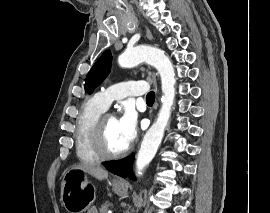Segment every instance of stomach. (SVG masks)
<instances>
[{
    "label": "stomach",
    "instance_id": "1",
    "mask_svg": "<svg viewBox=\"0 0 270 213\" xmlns=\"http://www.w3.org/2000/svg\"><path fill=\"white\" fill-rule=\"evenodd\" d=\"M113 191L118 195L127 193L126 182H112ZM95 200V190L87 174L69 169L63 174L61 182V202L68 213H83Z\"/></svg>",
    "mask_w": 270,
    "mask_h": 213
}]
</instances>
